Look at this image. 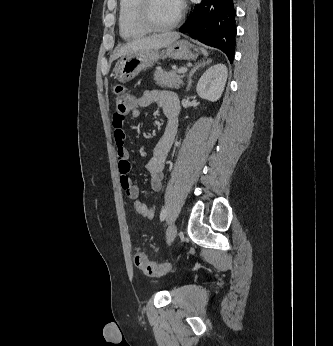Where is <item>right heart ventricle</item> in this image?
<instances>
[{"instance_id": "e07e8e85", "label": "right heart ventricle", "mask_w": 333, "mask_h": 346, "mask_svg": "<svg viewBox=\"0 0 333 346\" xmlns=\"http://www.w3.org/2000/svg\"><path fill=\"white\" fill-rule=\"evenodd\" d=\"M139 0H119L118 28L124 40H135L144 36L148 29L139 18Z\"/></svg>"}]
</instances>
